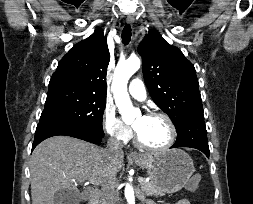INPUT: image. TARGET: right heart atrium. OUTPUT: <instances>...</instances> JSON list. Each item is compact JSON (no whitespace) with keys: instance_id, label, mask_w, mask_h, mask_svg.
<instances>
[{"instance_id":"1","label":"right heart atrium","mask_w":253,"mask_h":204,"mask_svg":"<svg viewBox=\"0 0 253 204\" xmlns=\"http://www.w3.org/2000/svg\"><path fill=\"white\" fill-rule=\"evenodd\" d=\"M102 125L105 133L119 143H125L132 137V129L110 107L104 110Z\"/></svg>"}]
</instances>
